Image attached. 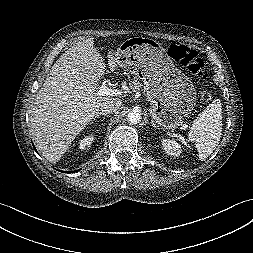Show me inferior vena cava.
Instances as JSON below:
<instances>
[{
	"instance_id": "1",
	"label": "inferior vena cava",
	"mask_w": 253,
	"mask_h": 253,
	"mask_svg": "<svg viewBox=\"0 0 253 253\" xmlns=\"http://www.w3.org/2000/svg\"><path fill=\"white\" fill-rule=\"evenodd\" d=\"M121 105H122L121 100L113 98L104 101L101 104L100 109L105 114L116 113L120 109Z\"/></svg>"
}]
</instances>
